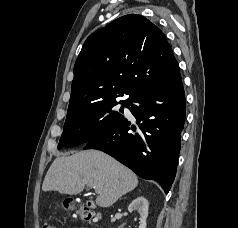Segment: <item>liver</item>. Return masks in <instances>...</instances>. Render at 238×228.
I'll return each mask as SVG.
<instances>
[{
    "instance_id": "obj_1",
    "label": "liver",
    "mask_w": 238,
    "mask_h": 228,
    "mask_svg": "<svg viewBox=\"0 0 238 228\" xmlns=\"http://www.w3.org/2000/svg\"><path fill=\"white\" fill-rule=\"evenodd\" d=\"M85 185L95 187L96 204L110 207L121 196L135 189L137 176L127 167L98 151L88 150L57 157L50 166L42 189L76 195Z\"/></svg>"
}]
</instances>
